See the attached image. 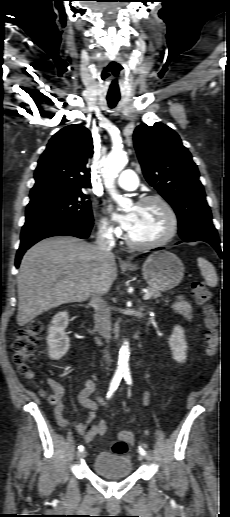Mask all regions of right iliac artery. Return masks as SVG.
I'll return each mask as SVG.
<instances>
[{"mask_svg": "<svg viewBox=\"0 0 230 517\" xmlns=\"http://www.w3.org/2000/svg\"><path fill=\"white\" fill-rule=\"evenodd\" d=\"M122 375H123V372H122V371H120V370H118V371H116V372H115V374H114V376H113V378H112V381H111V383H110L109 391H108V393H107V398H110V397L113 395L114 391H115V390L117 389V387L119 386V383H120V381H121V379H122ZM78 450L81 452V451H83V450H84V447H83L82 445H80V446L78 447Z\"/></svg>", "mask_w": 230, "mask_h": 517, "instance_id": "1", "label": "right iliac artery"}]
</instances>
